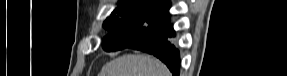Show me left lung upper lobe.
<instances>
[{
	"label": "left lung upper lobe",
	"mask_w": 287,
	"mask_h": 76,
	"mask_svg": "<svg viewBox=\"0 0 287 76\" xmlns=\"http://www.w3.org/2000/svg\"><path fill=\"white\" fill-rule=\"evenodd\" d=\"M169 0H119L103 26L110 34L103 40L106 51L135 43L168 21Z\"/></svg>",
	"instance_id": "left-lung-upper-lobe-1"
}]
</instances>
